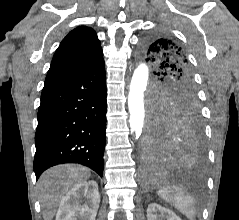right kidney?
<instances>
[{"mask_svg":"<svg viewBox=\"0 0 239 220\" xmlns=\"http://www.w3.org/2000/svg\"><path fill=\"white\" fill-rule=\"evenodd\" d=\"M85 204L81 205L80 202ZM100 194L96 181H83L75 185L62 199L56 220H95Z\"/></svg>","mask_w":239,"mask_h":220,"instance_id":"ca27d5eb","label":"right kidney"}]
</instances>
